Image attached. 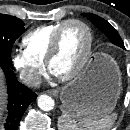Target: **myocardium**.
Wrapping results in <instances>:
<instances>
[{"instance_id": "obj_1", "label": "myocardium", "mask_w": 130, "mask_h": 130, "mask_svg": "<svg viewBox=\"0 0 130 130\" xmlns=\"http://www.w3.org/2000/svg\"><path fill=\"white\" fill-rule=\"evenodd\" d=\"M69 24H78V25L82 26L87 33L88 39H87L86 50H85L80 62L78 63V65L69 74H67L65 76H57V78L63 82L74 79L82 72V70L86 66L87 62L89 61V58H90L91 52H92V46H93V33H92L90 26L87 23H85L84 21H82L80 19H68V20L64 21L61 24V26L54 33L46 59H45V65L50 72H52L51 63L59 52L60 38H61L62 32L65 29V27L68 26Z\"/></svg>"}]
</instances>
